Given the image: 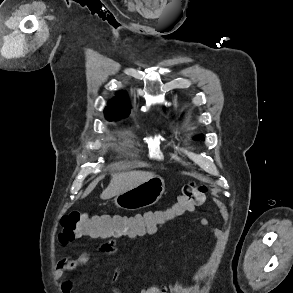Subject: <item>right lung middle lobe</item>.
Segmentation results:
<instances>
[{
	"label": "right lung middle lobe",
	"instance_id": "right-lung-middle-lobe-1",
	"mask_svg": "<svg viewBox=\"0 0 293 293\" xmlns=\"http://www.w3.org/2000/svg\"><path fill=\"white\" fill-rule=\"evenodd\" d=\"M119 118H124V117L110 118L109 120H115V119H119Z\"/></svg>",
	"mask_w": 293,
	"mask_h": 293
}]
</instances>
